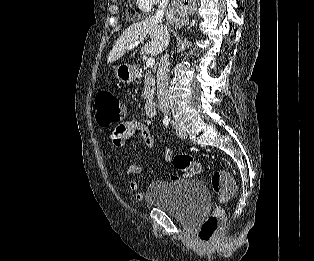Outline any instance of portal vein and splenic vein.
<instances>
[{
    "instance_id": "obj_1",
    "label": "portal vein and splenic vein",
    "mask_w": 314,
    "mask_h": 261,
    "mask_svg": "<svg viewBox=\"0 0 314 261\" xmlns=\"http://www.w3.org/2000/svg\"><path fill=\"white\" fill-rule=\"evenodd\" d=\"M139 43H143V40L137 41L133 44H131L130 46L127 47L128 50L133 49L134 47H137L139 45ZM155 65V59L153 57H150L146 60V66L148 68H152Z\"/></svg>"
}]
</instances>
